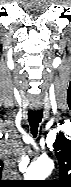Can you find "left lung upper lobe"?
<instances>
[{
    "mask_svg": "<svg viewBox=\"0 0 71 187\" xmlns=\"http://www.w3.org/2000/svg\"><path fill=\"white\" fill-rule=\"evenodd\" d=\"M53 147L59 161L60 180L55 181L61 187L71 184V140H67L63 133H59Z\"/></svg>",
    "mask_w": 71,
    "mask_h": 187,
    "instance_id": "left-lung-upper-lobe-1",
    "label": "left lung upper lobe"
}]
</instances>
